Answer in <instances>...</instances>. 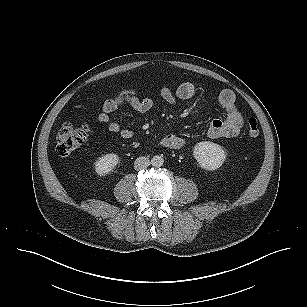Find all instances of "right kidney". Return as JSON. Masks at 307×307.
<instances>
[{"instance_id": "1", "label": "right kidney", "mask_w": 307, "mask_h": 307, "mask_svg": "<svg viewBox=\"0 0 307 307\" xmlns=\"http://www.w3.org/2000/svg\"><path fill=\"white\" fill-rule=\"evenodd\" d=\"M118 163V155L114 153H109L96 160V162L94 163V168L96 173L102 176L111 172Z\"/></svg>"}]
</instances>
